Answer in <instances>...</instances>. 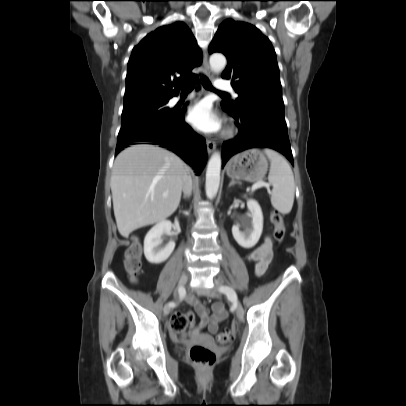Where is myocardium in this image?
<instances>
[{"label":"myocardium","mask_w":406,"mask_h":406,"mask_svg":"<svg viewBox=\"0 0 406 406\" xmlns=\"http://www.w3.org/2000/svg\"><path fill=\"white\" fill-rule=\"evenodd\" d=\"M233 133V128L232 127H228L226 130V134L227 135H231Z\"/></svg>","instance_id":"f54148a6"}]
</instances>
